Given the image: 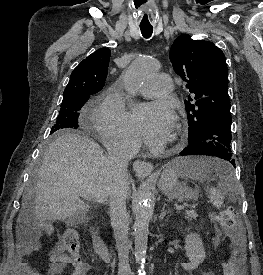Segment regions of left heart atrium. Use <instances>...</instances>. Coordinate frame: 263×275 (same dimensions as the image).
<instances>
[{
	"label": "left heart atrium",
	"mask_w": 263,
	"mask_h": 275,
	"mask_svg": "<svg viewBox=\"0 0 263 275\" xmlns=\"http://www.w3.org/2000/svg\"><path fill=\"white\" fill-rule=\"evenodd\" d=\"M133 124L138 136L150 146L165 143L174 128V113L162 101L145 103L135 107Z\"/></svg>",
	"instance_id": "obj_1"
}]
</instances>
